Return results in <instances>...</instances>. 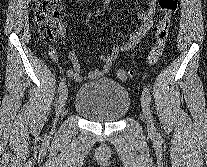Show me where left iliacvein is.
<instances>
[{
    "instance_id": "left-iliac-vein-1",
    "label": "left iliac vein",
    "mask_w": 207,
    "mask_h": 167,
    "mask_svg": "<svg viewBox=\"0 0 207 167\" xmlns=\"http://www.w3.org/2000/svg\"><path fill=\"white\" fill-rule=\"evenodd\" d=\"M141 107H142V110H143V113H144V117H145V121H146V124H147L148 132L151 135H154L155 134L154 121H153V117H152V114H151V111H150L148 101H147V99L144 95L141 97Z\"/></svg>"
}]
</instances>
